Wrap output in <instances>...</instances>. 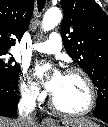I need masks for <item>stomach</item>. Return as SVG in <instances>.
<instances>
[{
	"instance_id": "0dacf381",
	"label": "stomach",
	"mask_w": 108,
	"mask_h": 127,
	"mask_svg": "<svg viewBox=\"0 0 108 127\" xmlns=\"http://www.w3.org/2000/svg\"><path fill=\"white\" fill-rule=\"evenodd\" d=\"M47 127H98V125L94 124V125H80V124H75V123H72V124H62V125H59L57 122H54L53 124L51 125H47Z\"/></svg>"
}]
</instances>
